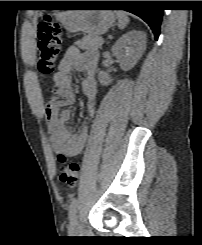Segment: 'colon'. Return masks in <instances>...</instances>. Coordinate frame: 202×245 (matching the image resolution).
Listing matches in <instances>:
<instances>
[{
	"label": "colon",
	"mask_w": 202,
	"mask_h": 245,
	"mask_svg": "<svg viewBox=\"0 0 202 245\" xmlns=\"http://www.w3.org/2000/svg\"><path fill=\"white\" fill-rule=\"evenodd\" d=\"M37 69L42 77L53 74L57 58L61 52V28L49 16L44 17L38 24L37 33ZM59 177L61 182L76 187L79 183L81 167L77 161H68L67 156L59 154Z\"/></svg>",
	"instance_id": "5ec220e1"
}]
</instances>
